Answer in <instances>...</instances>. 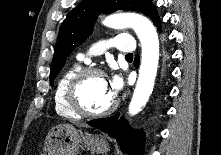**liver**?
I'll return each mask as SVG.
<instances>
[{
	"label": "liver",
	"mask_w": 221,
	"mask_h": 155,
	"mask_svg": "<svg viewBox=\"0 0 221 155\" xmlns=\"http://www.w3.org/2000/svg\"><path fill=\"white\" fill-rule=\"evenodd\" d=\"M75 124H76L77 126H79V127H87L86 124H83V123H80V122H76Z\"/></svg>",
	"instance_id": "1"
}]
</instances>
